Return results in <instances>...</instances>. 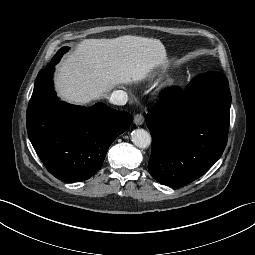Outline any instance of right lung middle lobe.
<instances>
[{
    "instance_id": "obj_1",
    "label": "right lung middle lobe",
    "mask_w": 255,
    "mask_h": 255,
    "mask_svg": "<svg viewBox=\"0 0 255 255\" xmlns=\"http://www.w3.org/2000/svg\"><path fill=\"white\" fill-rule=\"evenodd\" d=\"M68 50H69V47H63L60 50H58L56 55L53 57L51 62L47 64V66H54L55 64H57L60 61L63 54H65Z\"/></svg>"
}]
</instances>
